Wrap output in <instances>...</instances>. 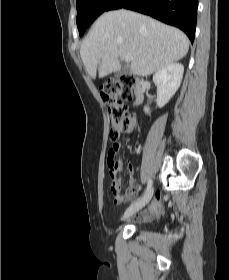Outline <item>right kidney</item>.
<instances>
[{"label": "right kidney", "mask_w": 229, "mask_h": 280, "mask_svg": "<svg viewBox=\"0 0 229 280\" xmlns=\"http://www.w3.org/2000/svg\"><path fill=\"white\" fill-rule=\"evenodd\" d=\"M184 67L180 63H172L157 71L153 76V82L157 86L156 103L159 108H162L180 87ZM146 114H150L148 106L144 107Z\"/></svg>", "instance_id": "1"}]
</instances>
